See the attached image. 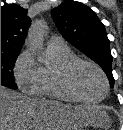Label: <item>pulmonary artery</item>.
Wrapping results in <instances>:
<instances>
[{
  "label": "pulmonary artery",
  "mask_w": 123,
  "mask_h": 130,
  "mask_svg": "<svg viewBox=\"0 0 123 130\" xmlns=\"http://www.w3.org/2000/svg\"><path fill=\"white\" fill-rule=\"evenodd\" d=\"M48 44H49V46L55 47V48H65V47H67L65 40L59 35L51 36L48 40Z\"/></svg>",
  "instance_id": "pulmonary-artery-1"
}]
</instances>
